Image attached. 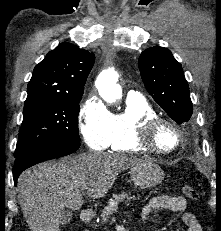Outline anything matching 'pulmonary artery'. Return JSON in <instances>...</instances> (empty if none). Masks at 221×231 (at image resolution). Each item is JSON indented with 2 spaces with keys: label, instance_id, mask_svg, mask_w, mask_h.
<instances>
[{
  "label": "pulmonary artery",
  "instance_id": "e3ab8cb5",
  "mask_svg": "<svg viewBox=\"0 0 221 231\" xmlns=\"http://www.w3.org/2000/svg\"><path fill=\"white\" fill-rule=\"evenodd\" d=\"M128 97H129V98H141V95H140V93L137 92V91L130 90V91L128 92Z\"/></svg>",
  "mask_w": 221,
  "mask_h": 231
}]
</instances>
